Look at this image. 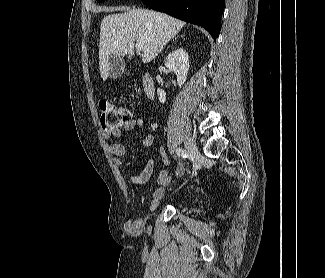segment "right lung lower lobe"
Returning a JSON list of instances; mask_svg holds the SVG:
<instances>
[{
  "label": "right lung lower lobe",
  "instance_id": "right-lung-lower-lobe-1",
  "mask_svg": "<svg viewBox=\"0 0 325 278\" xmlns=\"http://www.w3.org/2000/svg\"><path fill=\"white\" fill-rule=\"evenodd\" d=\"M148 7L202 26L214 40L221 30L225 0H142Z\"/></svg>",
  "mask_w": 325,
  "mask_h": 278
}]
</instances>
